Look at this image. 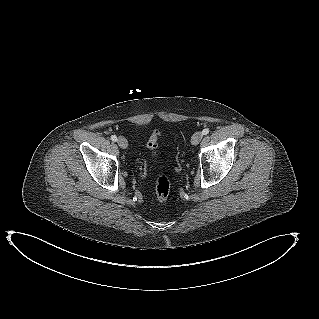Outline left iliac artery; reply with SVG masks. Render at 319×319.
Here are the masks:
<instances>
[{
  "label": "left iliac artery",
  "instance_id": "1",
  "mask_svg": "<svg viewBox=\"0 0 319 319\" xmlns=\"http://www.w3.org/2000/svg\"><path fill=\"white\" fill-rule=\"evenodd\" d=\"M208 133H209V129L208 128L203 129L202 135H207Z\"/></svg>",
  "mask_w": 319,
  "mask_h": 319
}]
</instances>
